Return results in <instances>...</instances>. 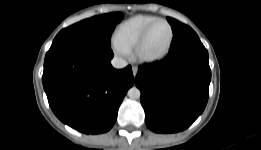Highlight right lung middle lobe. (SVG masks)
I'll return each mask as SVG.
<instances>
[{"label": "right lung middle lobe", "instance_id": "1", "mask_svg": "<svg viewBox=\"0 0 261 150\" xmlns=\"http://www.w3.org/2000/svg\"><path fill=\"white\" fill-rule=\"evenodd\" d=\"M123 18L122 13H108L83 20L61 30L55 37L52 46L67 43L87 44L99 47H110V37Z\"/></svg>", "mask_w": 261, "mask_h": 150}]
</instances>
